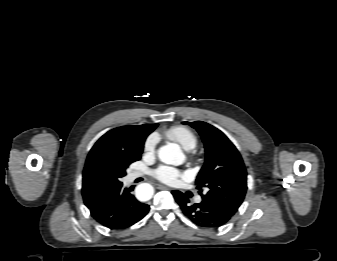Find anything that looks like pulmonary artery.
Returning <instances> with one entry per match:
<instances>
[{"label": "pulmonary artery", "mask_w": 337, "mask_h": 261, "mask_svg": "<svg viewBox=\"0 0 337 261\" xmlns=\"http://www.w3.org/2000/svg\"><path fill=\"white\" fill-rule=\"evenodd\" d=\"M138 176H140V173L139 172H133L132 174H131V178H137ZM201 200H202V198L199 196V197H197L196 198V202L197 203H200L201 202Z\"/></svg>", "instance_id": "1"}]
</instances>
